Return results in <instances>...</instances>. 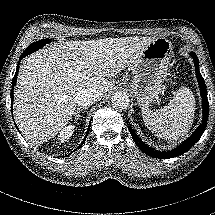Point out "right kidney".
Wrapping results in <instances>:
<instances>
[{
  "label": "right kidney",
  "instance_id": "obj_1",
  "mask_svg": "<svg viewBox=\"0 0 215 215\" xmlns=\"http://www.w3.org/2000/svg\"><path fill=\"white\" fill-rule=\"evenodd\" d=\"M73 130L74 128L72 125L66 126L60 133V136H59L60 140L62 142H66L73 134Z\"/></svg>",
  "mask_w": 215,
  "mask_h": 215
}]
</instances>
